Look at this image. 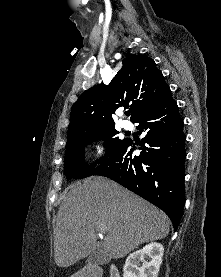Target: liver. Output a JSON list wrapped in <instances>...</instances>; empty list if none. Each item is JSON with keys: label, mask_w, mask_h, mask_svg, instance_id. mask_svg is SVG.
I'll list each match as a JSON object with an SVG mask.
<instances>
[{"label": "liver", "mask_w": 221, "mask_h": 277, "mask_svg": "<svg viewBox=\"0 0 221 277\" xmlns=\"http://www.w3.org/2000/svg\"><path fill=\"white\" fill-rule=\"evenodd\" d=\"M100 227L105 229V254L119 259L141 244L165 238L169 219L112 180L87 178L70 190L59 207L54 231L57 266L69 267L94 253Z\"/></svg>", "instance_id": "1"}]
</instances>
